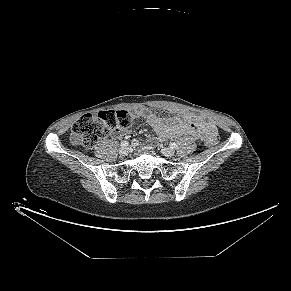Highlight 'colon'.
<instances>
[{
	"instance_id": "colon-1",
	"label": "colon",
	"mask_w": 291,
	"mask_h": 291,
	"mask_svg": "<svg viewBox=\"0 0 291 291\" xmlns=\"http://www.w3.org/2000/svg\"><path fill=\"white\" fill-rule=\"evenodd\" d=\"M134 120L126 110L102 111L96 115L81 116L72 126L71 140L85 149H92L96 143L117 128H128ZM205 142L212 146L218 142V133L213 131L205 136Z\"/></svg>"
}]
</instances>
